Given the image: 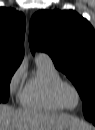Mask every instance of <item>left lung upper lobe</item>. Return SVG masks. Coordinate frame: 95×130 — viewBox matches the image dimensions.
<instances>
[{"label":"left lung upper lobe","instance_id":"obj_1","mask_svg":"<svg viewBox=\"0 0 95 130\" xmlns=\"http://www.w3.org/2000/svg\"><path fill=\"white\" fill-rule=\"evenodd\" d=\"M32 52L50 55L77 88L86 119L95 118V31L75 11H38L30 21Z\"/></svg>","mask_w":95,"mask_h":130}]
</instances>
